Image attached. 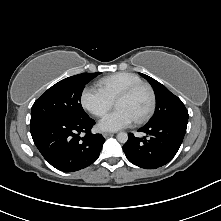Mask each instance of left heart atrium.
I'll return each mask as SVG.
<instances>
[{"label": "left heart atrium", "mask_w": 221, "mask_h": 221, "mask_svg": "<svg viewBox=\"0 0 221 221\" xmlns=\"http://www.w3.org/2000/svg\"><path fill=\"white\" fill-rule=\"evenodd\" d=\"M134 121L126 110L117 108L99 121L98 128L102 131H117L130 126Z\"/></svg>", "instance_id": "39dd6f15"}]
</instances>
